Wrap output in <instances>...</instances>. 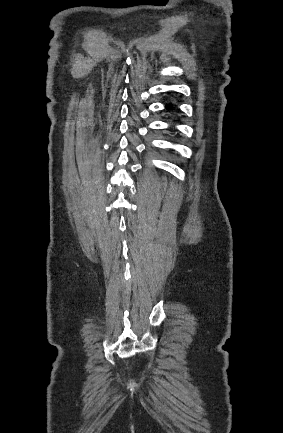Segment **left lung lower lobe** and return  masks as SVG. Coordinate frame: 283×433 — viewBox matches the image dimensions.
Returning a JSON list of instances; mask_svg holds the SVG:
<instances>
[{
    "instance_id": "obj_1",
    "label": "left lung lower lobe",
    "mask_w": 283,
    "mask_h": 433,
    "mask_svg": "<svg viewBox=\"0 0 283 433\" xmlns=\"http://www.w3.org/2000/svg\"><path fill=\"white\" fill-rule=\"evenodd\" d=\"M167 108H168V109H171V108H172V106H171V105L169 104V105H167Z\"/></svg>"
}]
</instances>
